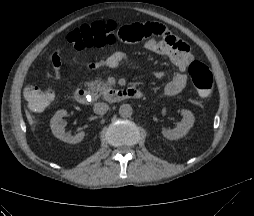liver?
<instances>
[{
    "label": "liver",
    "instance_id": "liver-1",
    "mask_svg": "<svg viewBox=\"0 0 254 216\" xmlns=\"http://www.w3.org/2000/svg\"><path fill=\"white\" fill-rule=\"evenodd\" d=\"M27 119H28L29 124L32 126L34 124V121H33L30 114H27Z\"/></svg>",
    "mask_w": 254,
    "mask_h": 216
}]
</instances>
